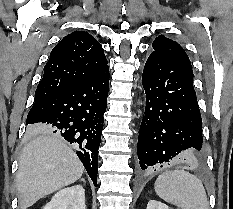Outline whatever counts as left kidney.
I'll return each mask as SVG.
<instances>
[{
	"instance_id": "obj_1",
	"label": "left kidney",
	"mask_w": 233,
	"mask_h": 209,
	"mask_svg": "<svg viewBox=\"0 0 233 209\" xmlns=\"http://www.w3.org/2000/svg\"><path fill=\"white\" fill-rule=\"evenodd\" d=\"M147 209H170V208L162 202L156 200H150L147 204Z\"/></svg>"
}]
</instances>
